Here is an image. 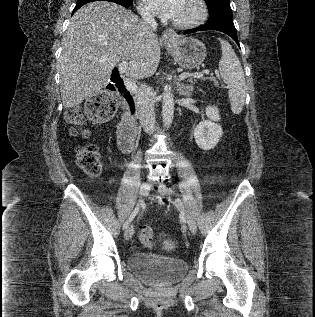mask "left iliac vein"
Listing matches in <instances>:
<instances>
[{"label": "left iliac vein", "instance_id": "left-iliac-vein-1", "mask_svg": "<svg viewBox=\"0 0 315 317\" xmlns=\"http://www.w3.org/2000/svg\"><path fill=\"white\" fill-rule=\"evenodd\" d=\"M159 193L162 196L171 197L174 196V193L171 188H168L166 185H162L159 189ZM174 205L182 212L185 222L188 225V228L191 233L195 234L197 232V225L194 218L184 209L183 203L180 198L175 197L173 201Z\"/></svg>", "mask_w": 315, "mask_h": 317}]
</instances>
